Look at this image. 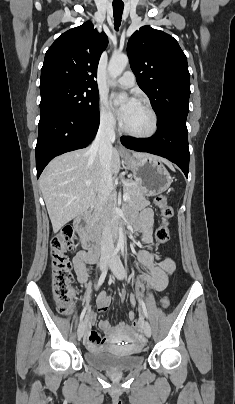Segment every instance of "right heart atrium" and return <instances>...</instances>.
Listing matches in <instances>:
<instances>
[{
  "label": "right heart atrium",
  "mask_w": 235,
  "mask_h": 404,
  "mask_svg": "<svg viewBox=\"0 0 235 404\" xmlns=\"http://www.w3.org/2000/svg\"><path fill=\"white\" fill-rule=\"evenodd\" d=\"M99 122L106 130H114L117 127V118L103 98L99 101Z\"/></svg>",
  "instance_id": "d8ad5b80"
}]
</instances>
